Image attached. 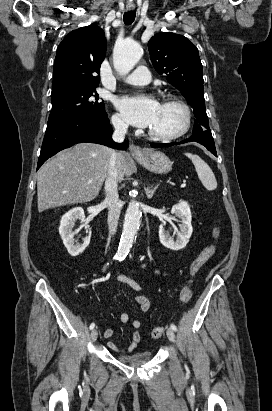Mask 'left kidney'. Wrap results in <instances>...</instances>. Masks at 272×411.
<instances>
[{
	"label": "left kidney",
	"mask_w": 272,
	"mask_h": 411,
	"mask_svg": "<svg viewBox=\"0 0 272 411\" xmlns=\"http://www.w3.org/2000/svg\"><path fill=\"white\" fill-rule=\"evenodd\" d=\"M171 213L181 219V224L179 225L180 231L177 232V238L174 240L169 232L165 231L164 224H161L159 226V239L161 244L166 248L180 250L186 246L191 237L193 231L191 224L192 215L190 207L185 201H180L175 204L171 209Z\"/></svg>",
	"instance_id": "5707ae66"
}]
</instances>
